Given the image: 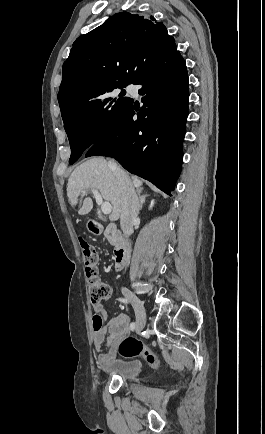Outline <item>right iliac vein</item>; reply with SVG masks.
Instances as JSON below:
<instances>
[{"label": "right iliac vein", "instance_id": "right-iliac-vein-1", "mask_svg": "<svg viewBox=\"0 0 265 434\" xmlns=\"http://www.w3.org/2000/svg\"><path fill=\"white\" fill-rule=\"evenodd\" d=\"M123 295L131 302L134 307L135 315H136V324L135 330L137 333H140L146 323V311L143 306V303L139 300L137 296L132 294L128 289H122Z\"/></svg>", "mask_w": 265, "mask_h": 434}]
</instances>
